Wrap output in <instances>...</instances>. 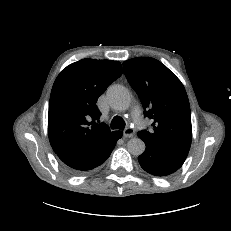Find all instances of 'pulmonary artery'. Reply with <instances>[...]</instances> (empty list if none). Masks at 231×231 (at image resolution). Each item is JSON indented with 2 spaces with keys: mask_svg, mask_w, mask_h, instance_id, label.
<instances>
[{
  "mask_svg": "<svg viewBox=\"0 0 231 231\" xmlns=\"http://www.w3.org/2000/svg\"><path fill=\"white\" fill-rule=\"evenodd\" d=\"M133 115H134V119H135L136 123H138V121L141 118V112L137 106L134 108Z\"/></svg>",
  "mask_w": 231,
  "mask_h": 231,
  "instance_id": "e3ab8cb5",
  "label": "pulmonary artery"
}]
</instances>
